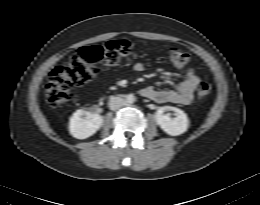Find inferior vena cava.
Here are the masks:
<instances>
[{
    "mask_svg": "<svg viewBox=\"0 0 260 205\" xmlns=\"http://www.w3.org/2000/svg\"><path fill=\"white\" fill-rule=\"evenodd\" d=\"M124 105V99L118 96L111 97L109 100V107L111 110H117Z\"/></svg>",
    "mask_w": 260,
    "mask_h": 205,
    "instance_id": "602c4592",
    "label": "inferior vena cava"
}]
</instances>
